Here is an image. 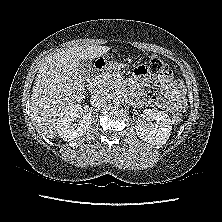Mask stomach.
Returning <instances> with one entry per match:
<instances>
[{"label": "stomach", "instance_id": "0dacf381", "mask_svg": "<svg viewBox=\"0 0 222 222\" xmlns=\"http://www.w3.org/2000/svg\"><path fill=\"white\" fill-rule=\"evenodd\" d=\"M117 67H118L117 64H114V65L113 64H109V66L105 67V70H111L112 69V70L116 71Z\"/></svg>", "mask_w": 222, "mask_h": 222}]
</instances>
